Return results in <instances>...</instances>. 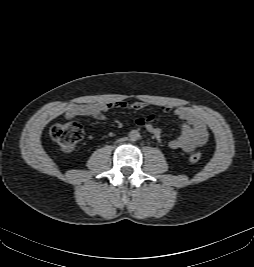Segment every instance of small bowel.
Listing matches in <instances>:
<instances>
[{
	"mask_svg": "<svg viewBox=\"0 0 254 267\" xmlns=\"http://www.w3.org/2000/svg\"><path fill=\"white\" fill-rule=\"evenodd\" d=\"M146 107H148V104L143 101L72 104L67 108L65 118L71 120L76 117H93L95 119L103 120L105 114L112 109L121 108L139 111ZM161 111L163 113H168L171 111V108L162 106ZM173 115L182 121V127L179 136L169 142V147L171 149L192 152L207 142L209 137L207 126L203 118L196 111L188 107H177L173 109ZM154 120L155 115L153 113H148L143 117L137 118L135 124L145 128L157 140H161L162 131L159 127L153 124Z\"/></svg>",
	"mask_w": 254,
	"mask_h": 267,
	"instance_id": "c3829d8e",
	"label": "small bowel"
}]
</instances>
